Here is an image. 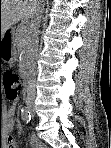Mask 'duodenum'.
<instances>
[{"label":"duodenum","instance_id":"1","mask_svg":"<svg viewBox=\"0 0 111 148\" xmlns=\"http://www.w3.org/2000/svg\"><path fill=\"white\" fill-rule=\"evenodd\" d=\"M25 82H26V84L29 83V77L28 76L25 77Z\"/></svg>","mask_w":111,"mask_h":148}]
</instances>
